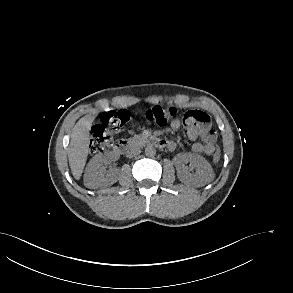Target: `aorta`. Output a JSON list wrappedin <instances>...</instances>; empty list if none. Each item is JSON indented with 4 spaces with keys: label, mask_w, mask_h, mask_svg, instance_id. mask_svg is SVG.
<instances>
[{
    "label": "aorta",
    "mask_w": 293,
    "mask_h": 293,
    "mask_svg": "<svg viewBox=\"0 0 293 293\" xmlns=\"http://www.w3.org/2000/svg\"><path fill=\"white\" fill-rule=\"evenodd\" d=\"M145 155L148 157H154L156 155V149L153 146H147L145 148Z\"/></svg>",
    "instance_id": "1"
}]
</instances>
